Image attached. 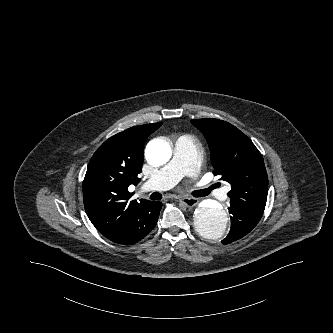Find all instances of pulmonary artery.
I'll return each instance as SVG.
<instances>
[{
  "label": "pulmonary artery",
  "instance_id": "pulmonary-artery-1",
  "mask_svg": "<svg viewBox=\"0 0 333 333\" xmlns=\"http://www.w3.org/2000/svg\"><path fill=\"white\" fill-rule=\"evenodd\" d=\"M196 159L197 145L195 140L188 135L180 136L176 140L171 161L148 179L143 184V188L146 190H166L173 187L182 177L194 172Z\"/></svg>",
  "mask_w": 333,
  "mask_h": 333
}]
</instances>
